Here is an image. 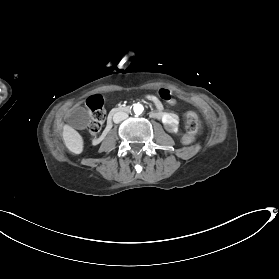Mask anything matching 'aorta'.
I'll list each match as a JSON object with an SVG mask.
<instances>
[{
  "label": "aorta",
  "instance_id": "obj_1",
  "mask_svg": "<svg viewBox=\"0 0 279 279\" xmlns=\"http://www.w3.org/2000/svg\"><path fill=\"white\" fill-rule=\"evenodd\" d=\"M143 106L141 104H135L133 107L134 113L139 115L143 112Z\"/></svg>",
  "mask_w": 279,
  "mask_h": 279
}]
</instances>
